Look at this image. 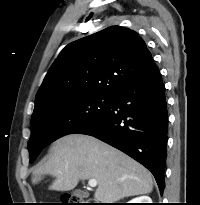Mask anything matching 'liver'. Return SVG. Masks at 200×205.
I'll return each instance as SVG.
<instances>
[{"label":"liver","instance_id":"6515ba94","mask_svg":"<svg viewBox=\"0 0 200 205\" xmlns=\"http://www.w3.org/2000/svg\"><path fill=\"white\" fill-rule=\"evenodd\" d=\"M45 174L56 179L50 190L69 191L80 180L95 179L96 201L114 203L122 198L148 194L153 189L151 173L137 161L88 135L71 134L56 140L50 157L33 173L36 184Z\"/></svg>","mask_w":200,"mask_h":205}]
</instances>
